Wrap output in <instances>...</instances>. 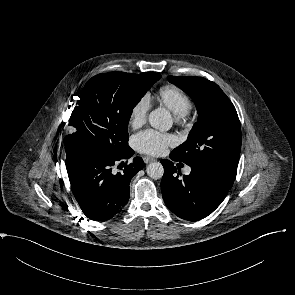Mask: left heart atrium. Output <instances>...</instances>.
Listing matches in <instances>:
<instances>
[{"instance_id":"39dd6f15","label":"left heart atrium","mask_w":295,"mask_h":295,"mask_svg":"<svg viewBox=\"0 0 295 295\" xmlns=\"http://www.w3.org/2000/svg\"><path fill=\"white\" fill-rule=\"evenodd\" d=\"M174 143V136L153 129L142 131L133 138L135 148L148 155H161Z\"/></svg>"}]
</instances>
